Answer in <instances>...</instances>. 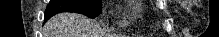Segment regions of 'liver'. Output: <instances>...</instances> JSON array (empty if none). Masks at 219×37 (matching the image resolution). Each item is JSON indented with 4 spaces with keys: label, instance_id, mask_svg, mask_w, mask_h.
Here are the masks:
<instances>
[{
    "label": "liver",
    "instance_id": "obj_1",
    "mask_svg": "<svg viewBox=\"0 0 219 37\" xmlns=\"http://www.w3.org/2000/svg\"><path fill=\"white\" fill-rule=\"evenodd\" d=\"M94 21L83 15L62 13L51 18L45 31L49 37H98Z\"/></svg>",
    "mask_w": 219,
    "mask_h": 37
}]
</instances>
